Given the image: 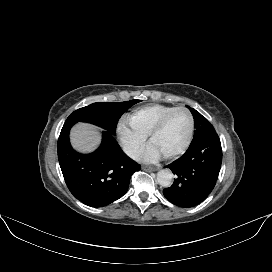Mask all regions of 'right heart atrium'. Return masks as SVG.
I'll use <instances>...</instances> for the list:
<instances>
[{"label": "right heart atrium", "instance_id": "right-heart-atrium-1", "mask_svg": "<svg viewBox=\"0 0 272 272\" xmlns=\"http://www.w3.org/2000/svg\"><path fill=\"white\" fill-rule=\"evenodd\" d=\"M117 132L124 151L130 157L137 158L146 143V135L134 130L125 121L119 122Z\"/></svg>", "mask_w": 272, "mask_h": 272}]
</instances>
